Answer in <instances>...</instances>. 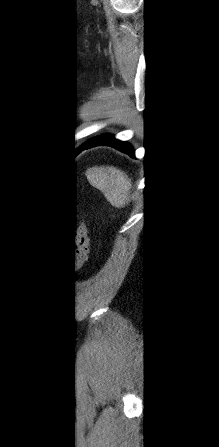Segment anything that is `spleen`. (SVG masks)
Instances as JSON below:
<instances>
[{
  "label": "spleen",
  "instance_id": "3e777b00",
  "mask_svg": "<svg viewBox=\"0 0 219 447\" xmlns=\"http://www.w3.org/2000/svg\"><path fill=\"white\" fill-rule=\"evenodd\" d=\"M87 179L113 206L123 207L128 202L131 181L120 169L113 166L93 167L88 169Z\"/></svg>",
  "mask_w": 219,
  "mask_h": 447
}]
</instances>
